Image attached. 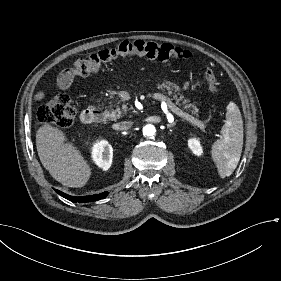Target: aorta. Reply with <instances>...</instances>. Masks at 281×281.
Returning a JSON list of instances; mask_svg holds the SVG:
<instances>
[{
	"instance_id": "obj_1",
	"label": "aorta",
	"mask_w": 281,
	"mask_h": 281,
	"mask_svg": "<svg viewBox=\"0 0 281 281\" xmlns=\"http://www.w3.org/2000/svg\"><path fill=\"white\" fill-rule=\"evenodd\" d=\"M155 132H156V129H155V127H154L153 125H151V124H147V125H145L144 128H143V134H144L145 136L150 137V138H152V137L154 136Z\"/></svg>"
}]
</instances>
